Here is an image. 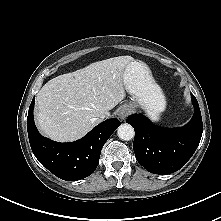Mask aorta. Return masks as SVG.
Instances as JSON below:
<instances>
[{"instance_id": "obj_1", "label": "aorta", "mask_w": 221, "mask_h": 221, "mask_svg": "<svg viewBox=\"0 0 221 221\" xmlns=\"http://www.w3.org/2000/svg\"><path fill=\"white\" fill-rule=\"evenodd\" d=\"M134 134H135L134 128L127 123L121 124L117 129L118 137L125 141L133 139Z\"/></svg>"}]
</instances>
